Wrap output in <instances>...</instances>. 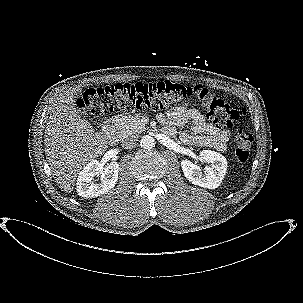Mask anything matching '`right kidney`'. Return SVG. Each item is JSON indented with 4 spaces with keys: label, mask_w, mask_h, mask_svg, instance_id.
<instances>
[{
    "label": "right kidney",
    "mask_w": 303,
    "mask_h": 303,
    "mask_svg": "<svg viewBox=\"0 0 303 303\" xmlns=\"http://www.w3.org/2000/svg\"><path fill=\"white\" fill-rule=\"evenodd\" d=\"M118 173L119 164L117 162H111L104 166L98 160L90 161L78 175L76 183L78 195L92 198L107 193L115 187ZM99 174H101V181L95 183L94 177Z\"/></svg>",
    "instance_id": "right-kidney-1"
}]
</instances>
